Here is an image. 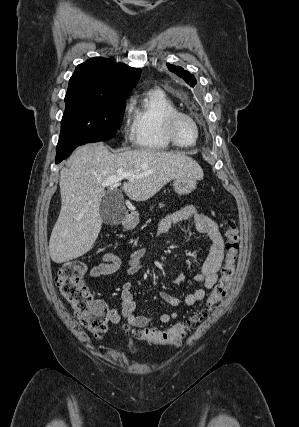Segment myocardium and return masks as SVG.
Masks as SVG:
<instances>
[{"label":"myocardium","mask_w":299,"mask_h":427,"mask_svg":"<svg viewBox=\"0 0 299 427\" xmlns=\"http://www.w3.org/2000/svg\"><path fill=\"white\" fill-rule=\"evenodd\" d=\"M186 118L189 119L195 126L196 130V137L194 142L190 144H184L179 142L177 139L176 133H175V126L179 119ZM164 132L168 138V140L176 147L179 148H190L197 144L199 137H200V125L198 121L190 114L182 111H174L166 115L164 118Z\"/></svg>","instance_id":"myocardium-1"}]
</instances>
